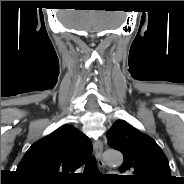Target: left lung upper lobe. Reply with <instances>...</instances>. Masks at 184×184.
Segmentation results:
<instances>
[{
	"label": "left lung upper lobe",
	"mask_w": 184,
	"mask_h": 184,
	"mask_svg": "<svg viewBox=\"0 0 184 184\" xmlns=\"http://www.w3.org/2000/svg\"><path fill=\"white\" fill-rule=\"evenodd\" d=\"M109 145L122 152L124 162L119 168V176L130 184H171L167 158L158 144L148 135L124 120L114 122L108 132Z\"/></svg>",
	"instance_id": "1"
}]
</instances>
